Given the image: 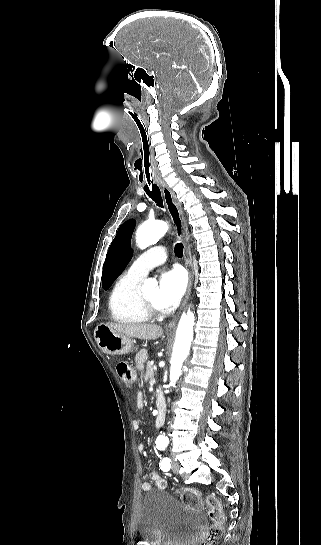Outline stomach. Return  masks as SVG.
I'll list each match as a JSON object with an SVG mask.
<instances>
[{"label": "stomach", "mask_w": 321, "mask_h": 545, "mask_svg": "<svg viewBox=\"0 0 321 545\" xmlns=\"http://www.w3.org/2000/svg\"><path fill=\"white\" fill-rule=\"evenodd\" d=\"M94 339L102 353L107 355H127L136 349L133 339L119 335L101 323L94 331Z\"/></svg>", "instance_id": "0dacf381"}]
</instances>
